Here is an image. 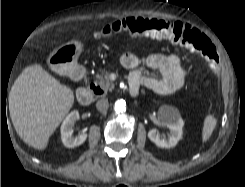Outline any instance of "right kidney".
Returning a JSON list of instances; mask_svg holds the SVG:
<instances>
[{
	"instance_id": "ca27d5eb",
	"label": "right kidney",
	"mask_w": 245,
	"mask_h": 187,
	"mask_svg": "<svg viewBox=\"0 0 245 187\" xmlns=\"http://www.w3.org/2000/svg\"><path fill=\"white\" fill-rule=\"evenodd\" d=\"M79 117V112L74 110L66 116L61 125V139L64 146L68 148L79 146L87 139V133L85 132H81L78 136H73V126Z\"/></svg>"
}]
</instances>
